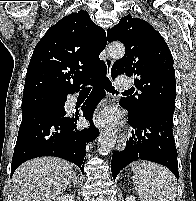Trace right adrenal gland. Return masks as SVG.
I'll list each match as a JSON object with an SVG mask.
<instances>
[{"mask_svg": "<svg viewBox=\"0 0 196 201\" xmlns=\"http://www.w3.org/2000/svg\"><path fill=\"white\" fill-rule=\"evenodd\" d=\"M73 184H74V185H78V184H79V183H78V180H77L76 174H74V179H73L72 182H70L69 187H72Z\"/></svg>", "mask_w": 196, "mask_h": 201, "instance_id": "2a0ac1e0", "label": "right adrenal gland"}]
</instances>
